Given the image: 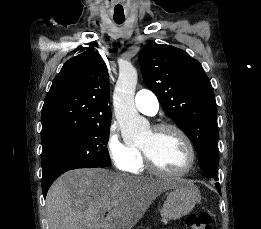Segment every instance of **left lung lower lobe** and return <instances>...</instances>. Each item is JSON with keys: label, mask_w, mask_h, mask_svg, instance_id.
<instances>
[{"label": "left lung lower lobe", "mask_w": 261, "mask_h": 229, "mask_svg": "<svg viewBox=\"0 0 261 229\" xmlns=\"http://www.w3.org/2000/svg\"><path fill=\"white\" fill-rule=\"evenodd\" d=\"M202 171L204 173V175L208 178H215V180H218V165L217 162L215 160H211L210 162H208L203 168ZM216 188L218 190V192L220 193V184L216 183Z\"/></svg>", "instance_id": "0a47b994"}]
</instances>
